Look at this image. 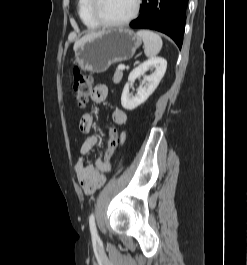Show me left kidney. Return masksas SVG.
Returning <instances> with one entry per match:
<instances>
[{
    "label": "left kidney",
    "instance_id": "left-kidney-1",
    "mask_svg": "<svg viewBox=\"0 0 247 265\" xmlns=\"http://www.w3.org/2000/svg\"><path fill=\"white\" fill-rule=\"evenodd\" d=\"M150 68L155 69V71L152 73V75L145 76V72ZM166 68L167 61L162 57L151 58L136 67L129 74L128 83L123 89L121 96L122 107L126 110H134L139 105L144 103L159 85L166 72ZM140 76H144L145 84L138 88L137 94L135 96H132L129 94V87L133 85L134 81Z\"/></svg>",
    "mask_w": 247,
    "mask_h": 265
}]
</instances>
